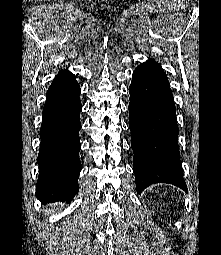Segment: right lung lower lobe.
I'll use <instances>...</instances> for the list:
<instances>
[{"instance_id":"obj_1","label":"right lung lower lobe","mask_w":221,"mask_h":255,"mask_svg":"<svg viewBox=\"0 0 221 255\" xmlns=\"http://www.w3.org/2000/svg\"><path fill=\"white\" fill-rule=\"evenodd\" d=\"M80 86L63 70L50 85L43 108L36 196L43 202L70 201L78 193Z\"/></svg>"}]
</instances>
